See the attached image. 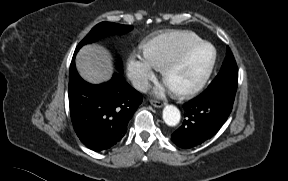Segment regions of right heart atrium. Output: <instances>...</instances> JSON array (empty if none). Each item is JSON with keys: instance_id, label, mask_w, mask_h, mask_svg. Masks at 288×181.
Masks as SVG:
<instances>
[{"instance_id": "1", "label": "right heart atrium", "mask_w": 288, "mask_h": 181, "mask_svg": "<svg viewBox=\"0 0 288 181\" xmlns=\"http://www.w3.org/2000/svg\"><path fill=\"white\" fill-rule=\"evenodd\" d=\"M158 68L144 53L132 52L127 59V73L134 86L145 90Z\"/></svg>"}]
</instances>
